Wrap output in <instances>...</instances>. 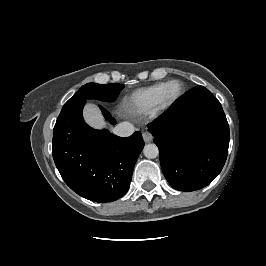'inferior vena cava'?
<instances>
[{"mask_svg":"<svg viewBox=\"0 0 266 266\" xmlns=\"http://www.w3.org/2000/svg\"><path fill=\"white\" fill-rule=\"evenodd\" d=\"M113 133L120 137H128L134 133V126L130 122H122L113 129Z\"/></svg>","mask_w":266,"mask_h":266,"instance_id":"obj_1","label":"inferior vena cava"}]
</instances>
